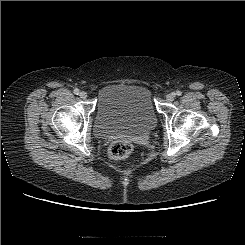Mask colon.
<instances>
[{
	"label": "colon",
	"instance_id": "colon-1",
	"mask_svg": "<svg viewBox=\"0 0 245 245\" xmlns=\"http://www.w3.org/2000/svg\"><path fill=\"white\" fill-rule=\"evenodd\" d=\"M133 150L132 143L128 140H117L108 148V155L113 160L127 158Z\"/></svg>",
	"mask_w": 245,
	"mask_h": 245
}]
</instances>
